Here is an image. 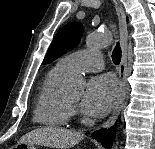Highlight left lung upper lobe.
<instances>
[{"mask_svg":"<svg viewBox=\"0 0 155 149\" xmlns=\"http://www.w3.org/2000/svg\"><path fill=\"white\" fill-rule=\"evenodd\" d=\"M83 27L80 23H68L55 35L43 64H48L77 46L81 40Z\"/></svg>","mask_w":155,"mask_h":149,"instance_id":"5c2ea615","label":"left lung upper lobe"}]
</instances>
